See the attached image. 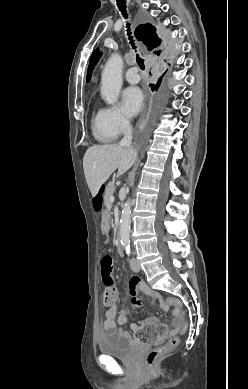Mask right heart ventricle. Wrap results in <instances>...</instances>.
<instances>
[{
  "label": "right heart ventricle",
  "mask_w": 248,
  "mask_h": 389,
  "mask_svg": "<svg viewBox=\"0 0 248 389\" xmlns=\"http://www.w3.org/2000/svg\"><path fill=\"white\" fill-rule=\"evenodd\" d=\"M91 129L94 138L101 143L110 142L116 137L108 125L104 109H97L94 112L91 118Z\"/></svg>",
  "instance_id": "1"
}]
</instances>
